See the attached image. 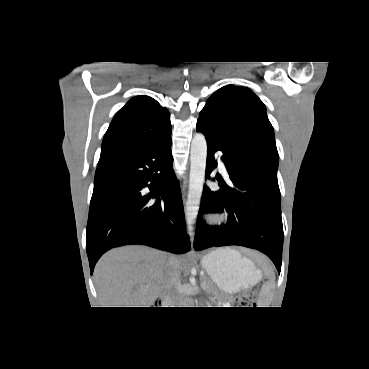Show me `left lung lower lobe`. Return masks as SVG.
Wrapping results in <instances>:
<instances>
[{
  "label": "left lung lower lobe",
  "instance_id": "obj_1",
  "mask_svg": "<svg viewBox=\"0 0 369 369\" xmlns=\"http://www.w3.org/2000/svg\"><path fill=\"white\" fill-rule=\"evenodd\" d=\"M196 129L203 132L207 140L206 176L209 177L217 166L214 153L220 150L223 152L221 158L230 181L227 183L222 178H217L220 190L215 192L204 186L194 249L227 245L257 249L269 256L280 273L283 225L278 183L262 173H246L245 168L251 164V159L226 146L203 122L198 120ZM207 199L213 202L204 204ZM224 210L229 213L225 224L207 225L201 218L208 211L222 213Z\"/></svg>",
  "mask_w": 369,
  "mask_h": 369
}]
</instances>
